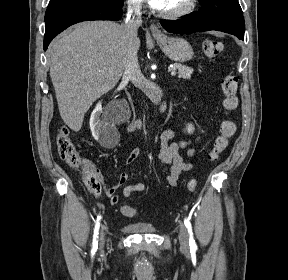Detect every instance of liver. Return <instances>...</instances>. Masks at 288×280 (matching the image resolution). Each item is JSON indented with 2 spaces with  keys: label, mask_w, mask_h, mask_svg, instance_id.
Returning a JSON list of instances; mask_svg holds the SVG:
<instances>
[{
  "label": "liver",
  "mask_w": 288,
  "mask_h": 280,
  "mask_svg": "<svg viewBox=\"0 0 288 280\" xmlns=\"http://www.w3.org/2000/svg\"><path fill=\"white\" fill-rule=\"evenodd\" d=\"M134 46L139 49L138 38ZM127 51L123 25L112 21L79 23L53 41L50 77L60 115L70 129L79 131L93 102L119 82Z\"/></svg>",
  "instance_id": "liver-1"
}]
</instances>
